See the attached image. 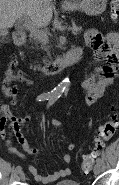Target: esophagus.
Instances as JSON below:
<instances>
[{"label": "esophagus", "instance_id": "34e87169", "mask_svg": "<svg viewBox=\"0 0 119 185\" xmlns=\"http://www.w3.org/2000/svg\"><path fill=\"white\" fill-rule=\"evenodd\" d=\"M71 3V0H63V4L70 5Z\"/></svg>", "mask_w": 119, "mask_h": 185}]
</instances>
